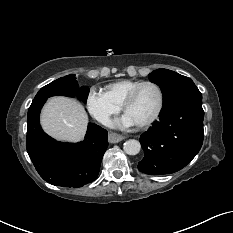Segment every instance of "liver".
Segmentation results:
<instances>
[{"instance_id": "1", "label": "liver", "mask_w": 233, "mask_h": 233, "mask_svg": "<svg viewBox=\"0 0 233 233\" xmlns=\"http://www.w3.org/2000/svg\"><path fill=\"white\" fill-rule=\"evenodd\" d=\"M43 130L55 139L78 142L84 138L88 118L82 105L71 98H50L41 112Z\"/></svg>"}]
</instances>
